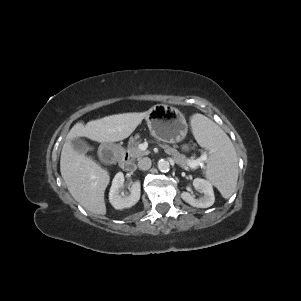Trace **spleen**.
Segmentation results:
<instances>
[{"label":"spleen","mask_w":301,"mask_h":301,"mask_svg":"<svg viewBox=\"0 0 301 301\" xmlns=\"http://www.w3.org/2000/svg\"><path fill=\"white\" fill-rule=\"evenodd\" d=\"M191 127L198 143L209 150L206 178L228 199L238 181V159L226 133L202 114H194Z\"/></svg>","instance_id":"1"}]
</instances>
